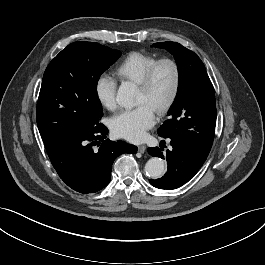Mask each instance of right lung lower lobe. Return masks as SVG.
<instances>
[{
  "label": "right lung lower lobe",
  "instance_id": "right-lung-lower-lobe-1",
  "mask_svg": "<svg viewBox=\"0 0 265 265\" xmlns=\"http://www.w3.org/2000/svg\"><path fill=\"white\" fill-rule=\"evenodd\" d=\"M107 134L108 129L97 123L89 131L45 145L59 177L73 190L80 193L101 190L110 182L114 160L123 153H136V146L105 139ZM96 145L98 149L94 147Z\"/></svg>",
  "mask_w": 265,
  "mask_h": 265
}]
</instances>
